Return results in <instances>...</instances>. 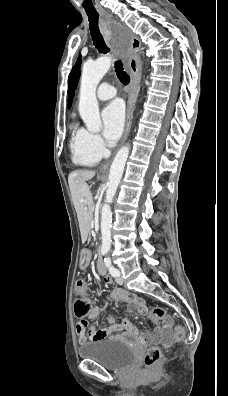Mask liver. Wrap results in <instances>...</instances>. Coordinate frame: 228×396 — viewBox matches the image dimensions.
I'll use <instances>...</instances> for the list:
<instances>
[{
	"instance_id": "liver-1",
	"label": "liver",
	"mask_w": 228,
	"mask_h": 396,
	"mask_svg": "<svg viewBox=\"0 0 228 396\" xmlns=\"http://www.w3.org/2000/svg\"><path fill=\"white\" fill-rule=\"evenodd\" d=\"M94 176L95 171L91 170H76L68 176L72 201L79 219L83 241L86 239L88 220H91L93 212V197L86 181Z\"/></svg>"
}]
</instances>
